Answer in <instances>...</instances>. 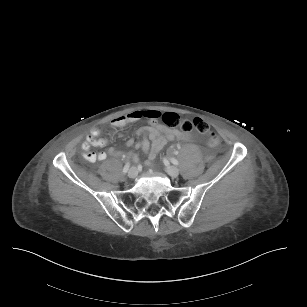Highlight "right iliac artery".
<instances>
[{
  "instance_id": "82829eb1",
  "label": "right iliac artery",
  "mask_w": 307,
  "mask_h": 307,
  "mask_svg": "<svg viewBox=\"0 0 307 307\" xmlns=\"http://www.w3.org/2000/svg\"><path fill=\"white\" fill-rule=\"evenodd\" d=\"M129 168H130V164L127 163V164L124 166V168H123V173H127L128 170H129Z\"/></svg>"
}]
</instances>
